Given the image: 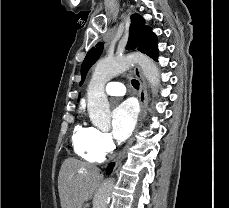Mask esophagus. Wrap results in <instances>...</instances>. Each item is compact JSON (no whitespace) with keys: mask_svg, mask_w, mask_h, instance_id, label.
Segmentation results:
<instances>
[{"mask_svg":"<svg viewBox=\"0 0 229 208\" xmlns=\"http://www.w3.org/2000/svg\"><path fill=\"white\" fill-rule=\"evenodd\" d=\"M134 74L136 76V78L139 80L140 82V90H139V104H140V122H139V129L142 128L145 117L147 116V111H148V94H147V85L145 82V79L142 75L141 69L138 65H135L134 67ZM134 138H132L131 140H129L123 151H121V153L119 154V156L116 159L115 164H119L122 159L124 158L125 154H126V150L129 148V146L133 143Z\"/></svg>","mask_w":229,"mask_h":208,"instance_id":"esophagus-1","label":"esophagus"}]
</instances>
